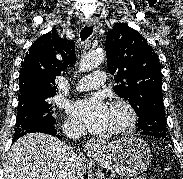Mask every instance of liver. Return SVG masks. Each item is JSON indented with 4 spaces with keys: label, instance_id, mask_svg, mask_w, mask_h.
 Listing matches in <instances>:
<instances>
[{
    "label": "liver",
    "instance_id": "obj_1",
    "mask_svg": "<svg viewBox=\"0 0 183 179\" xmlns=\"http://www.w3.org/2000/svg\"><path fill=\"white\" fill-rule=\"evenodd\" d=\"M73 149L42 133L18 139L8 152L3 179H67V163ZM82 171L86 163L80 156Z\"/></svg>",
    "mask_w": 183,
    "mask_h": 179
}]
</instances>
